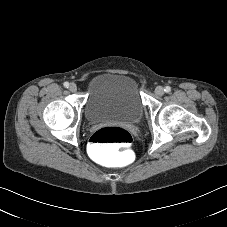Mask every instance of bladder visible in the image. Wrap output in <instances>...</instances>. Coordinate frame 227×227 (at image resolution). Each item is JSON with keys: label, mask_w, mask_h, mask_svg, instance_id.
<instances>
[{"label": "bladder", "mask_w": 227, "mask_h": 227, "mask_svg": "<svg viewBox=\"0 0 227 227\" xmlns=\"http://www.w3.org/2000/svg\"><path fill=\"white\" fill-rule=\"evenodd\" d=\"M144 113L139 83L129 73L104 72L89 84L84 106L90 123H138Z\"/></svg>", "instance_id": "bladder-1"}]
</instances>
